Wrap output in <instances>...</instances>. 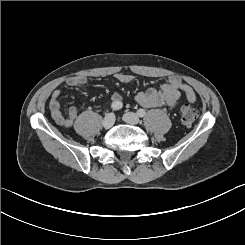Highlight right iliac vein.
<instances>
[{"mask_svg": "<svg viewBox=\"0 0 245 245\" xmlns=\"http://www.w3.org/2000/svg\"><path fill=\"white\" fill-rule=\"evenodd\" d=\"M114 122H115L114 114L113 113H109L103 119L102 125H103L104 128L108 129V128H111L113 126Z\"/></svg>", "mask_w": 245, "mask_h": 245, "instance_id": "63e3f726", "label": "right iliac vein"}]
</instances>
